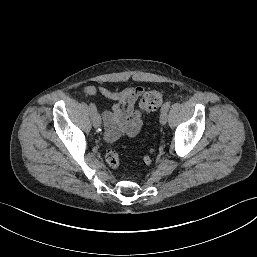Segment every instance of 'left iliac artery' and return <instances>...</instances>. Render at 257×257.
Wrapping results in <instances>:
<instances>
[{"label":"left iliac artery","instance_id":"obj_1","mask_svg":"<svg viewBox=\"0 0 257 257\" xmlns=\"http://www.w3.org/2000/svg\"><path fill=\"white\" fill-rule=\"evenodd\" d=\"M170 104H171V102L170 101H167V102H165L164 104H163V106H162V108H161V112H167L168 110H169V108H170Z\"/></svg>","mask_w":257,"mask_h":257}]
</instances>
